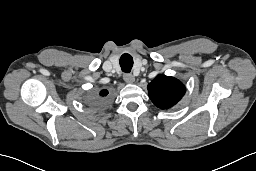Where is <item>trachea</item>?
<instances>
[{"label": "trachea", "mask_w": 256, "mask_h": 171, "mask_svg": "<svg viewBox=\"0 0 256 171\" xmlns=\"http://www.w3.org/2000/svg\"><path fill=\"white\" fill-rule=\"evenodd\" d=\"M120 66L123 72L129 73L133 66V59L129 54H123L120 58Z\"/></svg>", "instance_id": "obj_1"}]
</instances>
